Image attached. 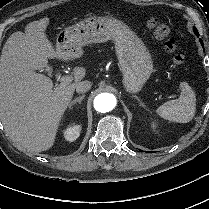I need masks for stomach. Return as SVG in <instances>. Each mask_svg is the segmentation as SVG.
Here are the masks:
<instances>
[{
  "mask_svg": "<svg viewBox=\"0 0 209 209\" xmlns=\"http://www.w3.org/2000/svg\"><path fill=\"white\" fill-rule=\"evenodd\" d=\"M114 40L118 65L127 91L138 92L153 71L151 55L142 40L124 22L106 15L92 16L66 27L56 37L62 59L80 57L82 47Z\"/></svg>",
  "mask_w": 209,
  "mask_h": 209,
  "instance_id": "obj_1",
  "label": "stomach"
}]
</instances>
